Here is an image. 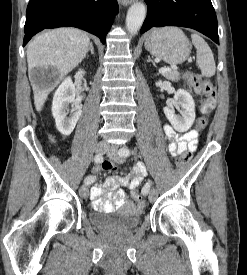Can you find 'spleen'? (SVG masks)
Here are the masks:
<instances>
[{
  "label": "spleen",
  "instance_id": "obj_1",
  "mask_svg": "<svg viewBox=\"0 0 247 275\" xmlns=\"http://www.w3.org/2000/svg\"><path fill=\"white\" fill-rule=\"evenodd\" d=\"M192 43L196 48V61L201 69V73L205 77L215 75L216 65L213 53L206 41L198 34L191 35Z\"/></svg>",
  "mask_w": 247,
  "mask_h": 275
}]
</instances>
